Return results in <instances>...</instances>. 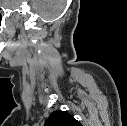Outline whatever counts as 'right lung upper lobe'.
I'll return each instance as SVG.
<instances>
[{"instance_id":"cb5924a9","label":"right lung upper lobe","mask_w":127,"mask_h":126,"mask_svg":"<svg viewBox=\"0 0 127 126\" xmlns=\"http://www.w3.org/2000/svg\"><path fill=\"white\" fill-rule=\"evenodd\" d=\"M44 126H81V124L71 114L57 110L51 114Z\"/></svg>"}]
</instances>
